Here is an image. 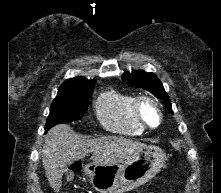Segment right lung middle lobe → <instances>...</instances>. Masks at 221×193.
Masks as SVG:
<instances>
[{
	"label": "right lung middle lobe",
	"instance_id": "dd1d6c3e",
	"mask_svg": "<svg viewBox=\"0 0 221 193\" xmlns=\"http://www.w3.org/2000/svg\"><path fill=\"white\" fill-rule=\"evenodd\" d=\"M59 90L52 102L46 121L45 132L60 123H69L81 119L87 111L93 86Z\"/></svg>",
	"mask_w": 221,
	"mask_h": 193
}]
</instances>
